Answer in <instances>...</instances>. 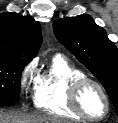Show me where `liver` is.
Listing matches in <instances>:
<instances>
[{"label":"liver","instance_id":"1","mask_svg":"<svg viewBox=\"0 0 118 123\" xmlns=\"http://www.w3.org/2000/svg\"><path fill=\"white\" fill-rule=\"evenodd\" d=\"M0 123H66L64 120L40 113H21L0 111Z\"/></svg>","mask_w":118,"mask_h":123}]
</instances>
